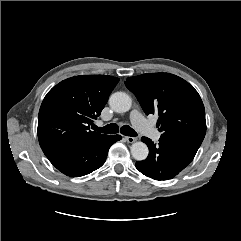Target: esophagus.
I'll use <instances>...</instances> for the list:
<instances>
[{
    "instance_id": "obj_1",
    "label": "esophagus",
    "mask_w": 241,
    "mask_h": 241,
    "mask_svg": "<svg viewBox=\"0 0 241 241\" xmlns=\"http://www.w3.org/2000/svg\"><path fill=\"white\" fill-rule=\"evenodd\" d=\"M125 140H126L128 143H134V142L137 140V138H135V137H130V136H126V137H125Z\"/></svg>"
}]
</instances>
